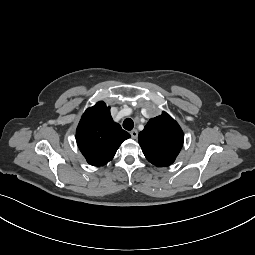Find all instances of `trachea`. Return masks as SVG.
I'll use <instances>...</instances> for the list:
<instances>
[{
	"instance_id": "1",
	"label": "trachea",
	"mask_w": 255,
	"mask_h": 255,
	"mask_svg": "<svg viewBox=\"0 0 255 255\" xmlns=\"http://www.w3.org/2000/svg\"><path fill=\"white\" fill-rule=\"evenodd\" d=\"M134 127V122L131 118H126L123 122V128L130 131Z\"/></svg>"
}]
</instances>
